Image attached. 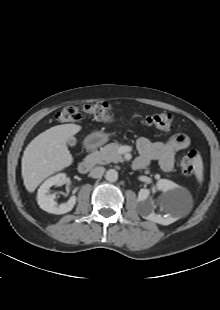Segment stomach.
I'll return each instance as SVG.
<instances>
[{"instance_id":"obj_1","label":"stomach","mask_w":220,"mask_h":310,"mask_svg":"<svg viewBox=\"0 0 220 310\" xmlns=\"http://www.w3.org/2000/svg\"><path fill=\"white\" fill-rule=\"evenodd\" d=\"M108 141V135L101 132H95L86 139V145L90 147L101 145Z\"/></svg>"}]
</instances>
